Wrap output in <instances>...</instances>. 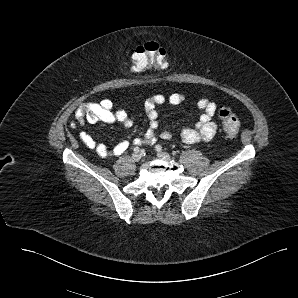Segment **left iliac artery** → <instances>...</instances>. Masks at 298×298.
<instances>
[{
    "mask_svg": "<svg viewBox=\"0 0 298 298\" xmlns=\"http://www.w3.org/2000/svg\"><path fill=\"white\" fill-rule=\"evenodd\" d=\"M155 149H156V151L160 152L162 150V147H161V145H156Z\"/></svg>",
    "mask_w": 298,
    "mask_h": 298,
    "instance_id": "obj_1",
    "label": "left iliac artery"
}]
</instances>
